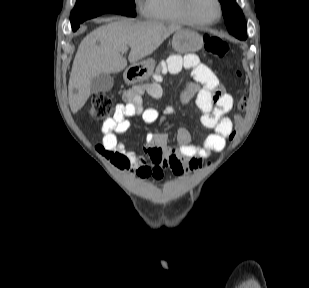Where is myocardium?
Instances as JSON below:
<instances>
[{"label": "myocardium", "instance_id": "1", "mask_svg": "<svg viewBox=\"0 0 309 288\" xmlns=\"http://www.w3.org/2000/svg\"><path fill=\"white\" fill-rule=\"evenodd\" d=\"M181 1H182L181 7H182V10H183L185 16L188 18L190 23L195 25V26H199V27L212 26V25L219 23L220 20L223 17L224 9H223V5H222L221 0H215L217 5H218L219 14H218L217 19H215L214 21H201V20H199L193 13L192 5H191L192 0H181Z\"/></svg>", "mask_w": 309, "mask_h": 288}]
</instances>
